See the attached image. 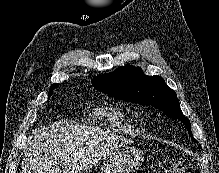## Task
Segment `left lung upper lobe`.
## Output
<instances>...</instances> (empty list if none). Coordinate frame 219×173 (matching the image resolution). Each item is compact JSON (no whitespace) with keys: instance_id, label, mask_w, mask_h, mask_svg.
<instances>
[{"instance_id":"left-lung-upper-lobe-1","label":"left lung upper lobe","mask_w":219,"mask_h":173,"mask_svg":"<svg viewBox=\"0 0 219 173\" xmlns=\"http://www.w3.org/2000/svg\"><path fill=\"white\" fill-rule=\"evenodd\" d=\"M92 85L112 97L158 108L168 117L180 120L192 135L190 121L183 115L176 93L162 77L146 76L140 67L124 66L93 78ZM191 139L196 142L193 136Z\"/></svg>"}]
</instances>
